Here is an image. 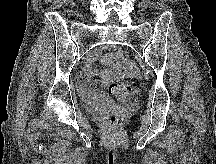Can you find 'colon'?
<instances>
[{"label": "colon", "mask_w": 216, "mask_h": 164, "mask_svg": "<svg viewBox=\"0 0 216 164\" xmlns=\"http://www.w3.org/2000/svg\"><path fill=\"white\" fill-rule=\"evenodd\" d=\"M104 85L108 86L109 94L111 97L125 100L133 97L137 93V88L130 82L111 83L102 81ZM122 116L117 111H109L107 114V122L111 127H117L122 123Z\"/></svg>", "instance_id": "obj_1"}]
</instances>
